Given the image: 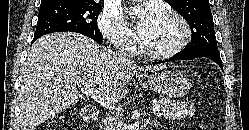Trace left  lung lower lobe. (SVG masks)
<instances>
[{"label":"left lung lower lobe","instance_id":"0a47b994","mask_svg":"<svg viewBox=\"0 0 249 130\" xmlns=\"http://www.w3.org/2000/svg\"><path fill=\"white\" fill-rule=\"evenodd\" d=\"M198 57H207V58L213 60L223 70L222 61H221L219 53H213V52H207V51H198V50H195V51L182 50L179 53L175 54L171 59H169V61L191 60V59H195ZM163 62H166V61L154 62L152 64L163 63Z\"/></svg>","mask_w":249,"mask_h":130}]
</instances>
